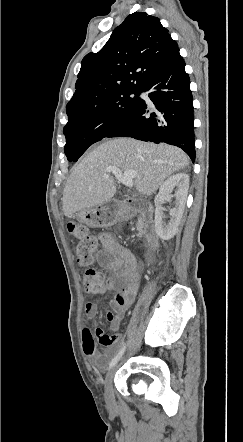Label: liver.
Returning <instances> with one entry per match:
<instances>
[{"label": "liver", "mask_w": 243, "mask_h": 442, "mask_svg": "<svg viewBox=\"0 0 243 442\" xmlns=\"http://www.w3.org/2000/svg\"><path fill=\"white\" fill-rule=\"evenodd\" d=\"M189 164L188 156L179 148L119 138L106 141L87 154L71 172L63 192L66 217L110 201L116 193L113 177L104 176L109 166L121 171L134 170V186L150 196L164 180Z\"/></svg>", "instance_id": "1"}]
</instances>
